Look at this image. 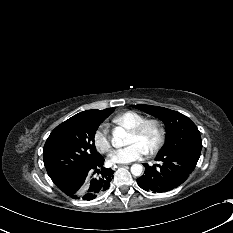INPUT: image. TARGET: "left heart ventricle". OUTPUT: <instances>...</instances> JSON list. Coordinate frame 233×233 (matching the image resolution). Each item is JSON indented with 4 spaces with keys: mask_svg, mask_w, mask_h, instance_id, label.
I'll return each mask as SVG.
<instances>
[{
    "mask_svg": "<svg viewBox=\"0 0 233 233\" xmlns=\"http://www.w3.org/2000/svg\"><path fill=\"white\" fill-rule=\"evenodd\" d=\"M156 129L151 126L145 130L143 134L137 136L133 133H129L127 144L137 142L141 144L146 150H148L156 140Z\"/></svg>",
    "mask_w": 233,
    "mask_h": 233,
    "instance_id": "b2bd125f",
    "label": "left heart ventricle"
}]
</instances>
